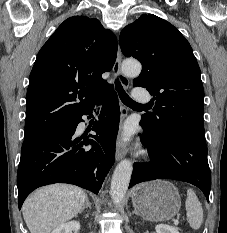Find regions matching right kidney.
<instances>
[{"label":"right kidney","mask_w":227,"mask_h":233,"mask_svg":"<svg viewBox=\"0 0 227 233\" xmlns=\"http://www.w3.org/2000/svg\"><path fill=\"white\" fill-rule=\"evenodd\" d=\"M79 229L80 223L78 221H71L58 226L51 233H72V231H78Z\"/></svg>","instance_id":"1"}]
</instances>
